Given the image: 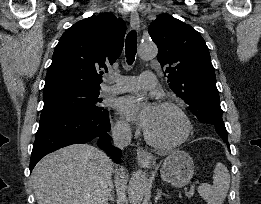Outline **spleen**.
I'll return each mask as SVG.
<instances>
[{
  "label": "spleen",
  "instance_id": "obj_1",
  "mask_svg": "<svg viewBox=\"0 0 261 204\" xmlns=\"http://www.w3.org/2000/svg\"><path fill=\"white\" fill-rule=\"evenodd\" d=\"M230 185V175L227 167L216 163L213 174V185L203 183L198 187L199 195L207 204H223Z\"/></svg>",
  "mask_w": 261,
  "mask_h": 204
}]
</instances>
